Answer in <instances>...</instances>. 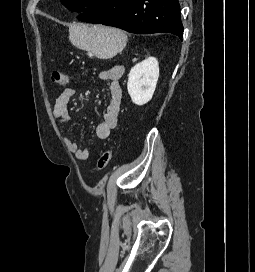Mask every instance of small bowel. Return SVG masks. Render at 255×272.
<instances>
[{
    "label": "small bowel",
    "instance_id": "1",
    "mask_svg": "<svg viewBox=\"0 0 255 272\" xmlns=\"http://www.w3.org/2000/svg\"><path fill=\"white\" fill-rule=\"evenodd\" d=\"M125 72L124 67L114 66L99 74V78L109 82L110 100L106 107L103 121L96 127V136L100 139H107L112 130L119 123V114L122 103V88L120 79ZM76 89L73 87L65 88L55 101L53 116L58 126H64L69 122L68 105L70 100L75 96ZM68 148L78 160L86 161L89 158V151L86 148L80 147L72 139L67 140Z\"/></svg>",
    "mask_w": 255,
    "mask_h": 272
}]
</instances>
